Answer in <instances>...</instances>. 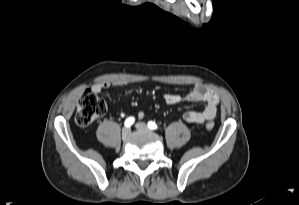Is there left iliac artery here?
<instances>
[{
	"mask_svg": "<svg viewBox=\"0 0 299 205\" xmlns=\"http://www.w3.org/2000/svg\"><path fill=\"white\" fill-rule=\"evenodd\" d=\"M148 127H149V129H151V130H155V129H157V125H156V123L153 122V121H149V122H148Z\"/></svg>",
	"mask_w": 299,
	"mask_h": 205,
	"instance_id": "1",
	"label": "left iliac artery"
}]
</instances>
